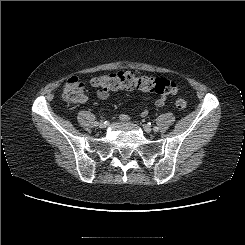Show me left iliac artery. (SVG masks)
I'll use <instances>...</instances> for the list:
<instances>
[{
	"label": "left iliac artery",
	"instance_id": "1",
	"mask_svg": "<svg viewBox=\"0 0 245 245\" xmlns=\"http://www.w3.org/2000/svg\"><path fill=\"white\" fill-rule=\"evenodd\" d=\"M149 124L151 125V123H149ZM153 129H154V131H158L159 128L158 127H154Z\"/></svg>",
	"mask_w": 245,
	"mask_h": 245
}]
</instances>
